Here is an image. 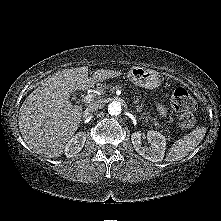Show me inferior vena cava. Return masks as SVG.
Here are the masks:
<instances>
[{
	"label": "inferior vena cava",
	"instance_id": "inferior-vena-cava-1",
	"mask_svg": "<svg viewBox=\"0 0 221 221\" xmlns=\"http://www.w3.org/2000/svg\"><path fill=\"white\" fill-rule=\"evenodd\" d=\"M104 106V104L102 103V101H94L91 104L88 105V107L86 108L87 112H95L99 109H101Z\"/></svg>",
	"mask_w": 221,
	"mask_h": 221
}]
</instances>
